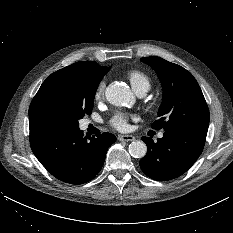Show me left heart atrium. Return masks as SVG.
I'll return each mask as SVG.
<instances>
[{
	"label": "left heart atrium",
	"mask_w": 233,
	"mask_h": 233,
	"mask_svg": "<svg viewBox=\"0 0 233 233\" xmlns=\"http://www.w3.org/2000/svg\"><path fill=\"white\" fill-rule=\"evenodd\" d=\"M129 116L125 113L118 112L111 118V125L119 131H125L129 128Z\"/></svg>",
	"instance_id": "1"
}]
</instances>
